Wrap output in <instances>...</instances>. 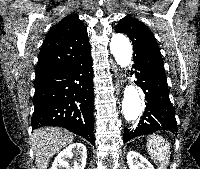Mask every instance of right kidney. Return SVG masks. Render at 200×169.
I'll list each match as a JSON object with an SVG mask.
<instances>
[{
    "mask_svg": "<svg viewBox=\"0 0 200 169\" xmlns=\"http://www.w3.org/2000/svg\"><path fill=\"white\" fill-rule=\"evenodd\" d=\"M74 159L73 168L69 161ZM87 151L82 143H73L61 151L55 158L51 169H84L86 165Z\"/></svg>",
    "mask_w": 200,
    "mask_h": 169,
    "instance_id": "1",
    "label": "right kidney"
}]
</instances>
